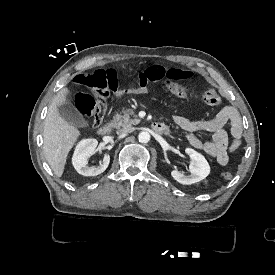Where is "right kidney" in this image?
<instances>
[{"label": "right kidney", "instance_id": "ca27d5eb", "mask_svg": "<svg viewBox=\"0 0 275 275\" xmlns=\"http://www.w3.org/2000/svg\"><path fill=\"white\" fill-rule=\"evenodd\" d=\"M98 145V141L93 138L82 139L75 147L74 154L72 156V164L75 170L84 176H97L103 173L109 165L110 156L105 155L103 163L98 166L88 167V158L95 153V149Z\"/></svg>", "mask_w": 275, "mask_h": 275}]
</instances>
